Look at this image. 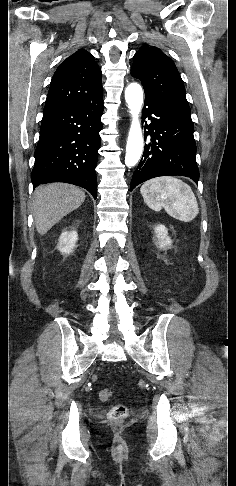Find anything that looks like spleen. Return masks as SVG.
<instances>
[{"instance_id": "3e777b00", "label": "spleen", "mask_w": 236, "mask_h": 486, "mask_svg": "<svg viewBox=\"0 0 236 486\" xmlns=\"http://www.w3.org/2000/svg\"><path fill=\"white\" fill-rule=\"evenodd\" d=\"M144 202L155 211L163 207L171 216L192 221L199 213L191 187L174 177H159L145 182L140 189Z\"/></svg>"}]
</instances>
